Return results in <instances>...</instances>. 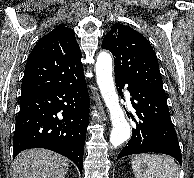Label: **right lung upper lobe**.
<instances>
[{
	"instance_id": "1",
	"label": "right lung upper lobe",
	"mask_w": 194,
	"mask_h": 178,
	"mask_svg": "<svg viewBox=\"0 0 194 178\" xmlns=\"http://www.w3.org/2000/svg\"><path fill=\"white\" fill-rule=\"evenodd\" d=\"M84 78L81 51L74 31L64 24L38 40L28 56L21 97Z\"/></svg>"
}]
</instances>
